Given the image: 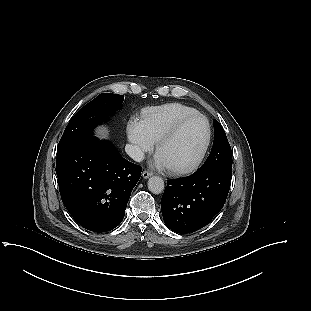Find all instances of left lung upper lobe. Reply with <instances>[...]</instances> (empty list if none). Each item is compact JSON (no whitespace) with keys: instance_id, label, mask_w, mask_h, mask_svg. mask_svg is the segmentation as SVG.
I'll use <instances>...</instances> for the list:
<instances>
[{"instance_id":"left-lung-upper-lobe-1","label":"left lung upper lobe","mask_w":311,"mask_h":311,"mask_svg":"<svg viewBox=\"0 0 311 311\" xmlns=\"http://www.w3.org/2000/svg\"><path fill=\"white\" fill-rule=\"evenodd\" d=\"M214 142L210 155L200 167H222L232 169V152L226 134L220 123L214 119Z\"/></svg>"}]
</instances>
